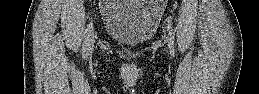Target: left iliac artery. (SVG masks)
Instances as JSON below:
<instances>
[{"label": "left iliac artery", "instance_id": "1", "mask_svg": "<svg viewBox=\"0 0 259 94\" xmlns=\"http://www.w3.org/2000/svg\"><path fill=\"white\" fill-rule=\"evenodd\" d=\"M168 29H171V26L168 25ZM168 42H169V48H170V53L171 55H174V37L172 35V30L169 31L168 33Z\"/></svg>", "mask_w": 259, "mask_h": 94}]
</instances>
